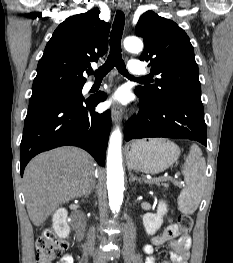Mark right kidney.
I'll use <instances>...</instances> for the list:
<instances>
[{"mask_svg": "<svg viewBox=\"0 0 233 263\" xmlns=\"http://www.w3.org/2000/svg\"><path fill=\"white\" fill-rule=\"evenodd\" d=\"M67 215L68 213L65 208H59L53 214V229L60 238H66L70 233V227L67 223Z\"/></svg>", "mask_w": 233, "mask_h": 263, "instance_id": "obj_1", "label": "right kidney"}]
</instances>
